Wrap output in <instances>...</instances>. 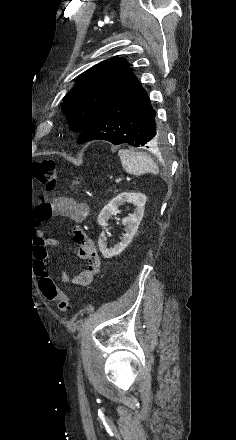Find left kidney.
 <instances>
[{
	"mask_svg": "<svg viewBox=\"0 0 236 440\" xmlns=\"http://www.w3.org/2000/svg\"><path fill=\"white\" fill-rule=\"evenodd\" d=\"M125 202L133 203L135 210L134 213L122 220L126 233L123 235L121 241L117 245H114V247L107 248L105 232L103 231L100 234L98 245L102 255L105 258H111L120 254L130 244L143 218L146 196L143 193L123 192L114 197L107 205H105L98 215L97 221L99 225L103 227V229H105V227L108 225L107 222L109 218L112 215L117 214L118 208Z\"/></svg>",
	"mask_w": 236,
	"mask_h": 440,
	"instance_id": "1",
	"label": "left kidney"
}]
</instances>
